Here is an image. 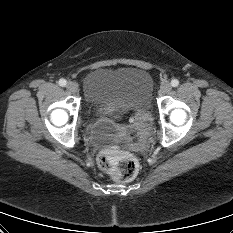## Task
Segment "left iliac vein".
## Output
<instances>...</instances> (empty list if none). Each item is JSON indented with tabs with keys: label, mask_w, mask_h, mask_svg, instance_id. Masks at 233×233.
<instances>
[{
	"label": "left iliac vein",
	"mask_w": 233,
	"mask_h": 233,
	"mask_svg": "<svg viewBox=\"0 0 233 233\" xmlns=\"http://www.w3.org/2000/svg\"><path fill=\"white\" fill-rule=\"evenodd\" d=\"M171 89H172V87H171L170 83H163L161 85L160 92L162 94H167L171 91Z\"/></svg>",
	"instance_id": "4c4485c4"
}]
</instances>
